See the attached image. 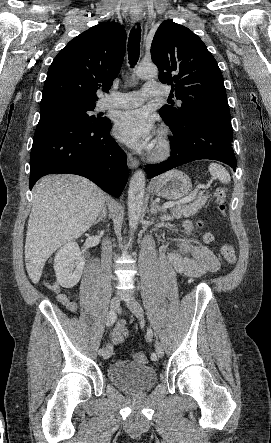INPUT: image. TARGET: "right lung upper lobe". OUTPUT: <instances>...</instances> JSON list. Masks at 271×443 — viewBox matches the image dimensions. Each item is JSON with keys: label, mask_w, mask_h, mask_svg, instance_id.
Masks as SVG:
<instances>
[{"label": "right lung upper lobe", "mask_w": 271, "mask_h": 443, "mask_svg": "<svg viewBox=\"0 0 271 443\" xmlns=\"http://www.w3.org/2000/svg\"><path fill=\"white\" fill-rule=\"evenodd\" d=\"M126 48L123 26L101 23L72 39L54 58L44 83L41 103L75 99L95 103L100 87L110 89Z\"/></svg>", "instance_id": "obj_1"}]
</instances>
